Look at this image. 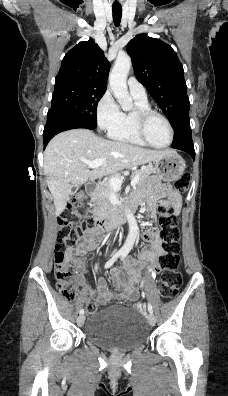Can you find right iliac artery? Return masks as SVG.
I'll return each instance as SVG.
<instances>
[{
	"mask_svg": "<svg viewBox=\"0 0 228 396\" xmlns=\"http://www.w3.org/2000/svg\"><path fill=\"white\" fill-rule=\"evenodd\" d=\"M122 254H123L122 251L116 252V253L111 257V259H110L109 261L106 262L105 268L107 269V268L111 267V266L114 264V262H115ZM79 313H80V315H83V314H84V309H81Z\"/></svg>",
	"mask_w": 228,
	"mask_h": 396,
	"instance_id": "1",
	"label": "right iliac artery"
}]
</instances>
